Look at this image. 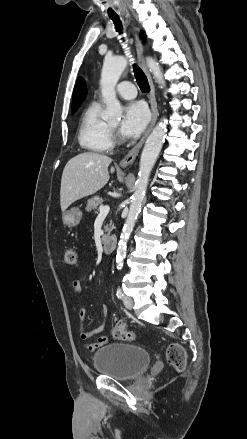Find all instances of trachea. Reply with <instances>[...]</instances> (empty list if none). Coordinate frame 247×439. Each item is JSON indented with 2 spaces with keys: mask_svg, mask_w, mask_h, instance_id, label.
I'll return each instance as SVG.
<instances>
[{
  "mask_svg": "<svg viewBox=\"0 0 247 439\" xmlns=\"http://www.w3.org/2000/svg\"><path fill=\"white\" fill-rule=\"evenodd\" d=\"M109 17L112 19V21L115 25L116 31L121 33L122 32V24H121L119 17H117V16H109ZM133 71H134L136 81H137L141 91L144 93H148L150 91V86H149L146 75L138 67L137 64H133Z\"/></svg>",
  "mask_w": 247,
  "mask_h": 439,
  "instance_id": "obj_1",
  "label": "trachea"
}]
</instances>
